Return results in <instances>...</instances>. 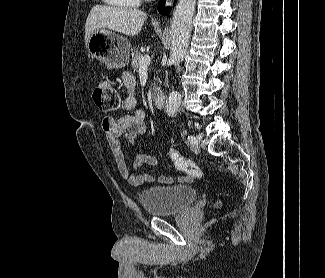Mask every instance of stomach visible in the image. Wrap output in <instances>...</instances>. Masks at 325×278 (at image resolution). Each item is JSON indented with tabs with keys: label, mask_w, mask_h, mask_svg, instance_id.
<instances>
[{
	"label": "stomach",
	"mask_w": 325,
	"mask_h": 278,
	"mask_svg": "<svg viewBox=\"0 0 325 278\" xmlns=\"http://www.w3.org/2000/svg\"><path fill=\"white\" fill-rule=\"evenodd\" d=\"M128 39L99 29L92 33L87 43L89 54L109 68H122L128 64L130 53Z\"/></svg>",
	"instance_id": "1"
}]
</instances>
